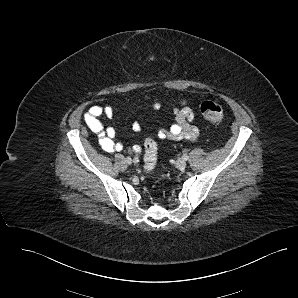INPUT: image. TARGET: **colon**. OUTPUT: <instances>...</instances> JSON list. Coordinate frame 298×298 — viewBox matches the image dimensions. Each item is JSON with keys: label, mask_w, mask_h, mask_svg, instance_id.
Masks as SVG:
<instances>
[{"label": "colon", "mask_w": 298, "mask_h": 298, "mask_svg": "<svg viewBox=\"0 0 298 298\" xmlns=\"http://www.w3.org/2000/svg\"><path fill=\"white\" fill-rule=\"evenodd\" d=\"M202 116L213 124H219L224 120L225 111L222 105L213 101H205L201 104ZM144 167L146 170H152L157 165L158 150L156 142L148 138L144 143Z\"/></svg>", "instance_id": "obj_1"}]
</instances>
